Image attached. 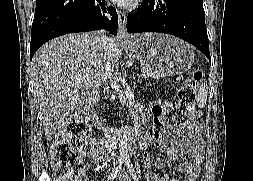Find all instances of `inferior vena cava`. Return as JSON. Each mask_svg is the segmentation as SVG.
I'll return each instance as SVG.
<instances>
[{
  "label": "inferior vena cava",
  "instance_id": "obj_1",
  "mask_svg": "<svg viewBox=\"0 0 253 181\" xmlns=\"http://www.w3.org/2000/svg\"><path fill=\"white\" fill-rule=\"evenodd\" d=\"M106 17L110 18L109 14H105ZM97 34L99 35L103 49L106 53H111V51L114 48V44L112 43L111 39L106 35V32L104 30L97 31Z\"/></svg>",
  "mask_w": 253,
  "mask_h": 181
}]
</instances>
